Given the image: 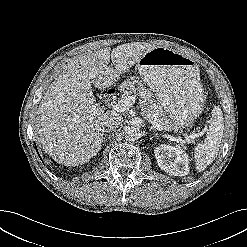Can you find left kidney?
<instances>
[{
  "mask_svg": "<svg viewBox=\"0 0 247 247\" xmlns=\"http://www.w3.org/2000/svg\"><path fill=\"white\" fill-rule=\"evenodd\" d=\"M161 170L174 176H186L189 173L188 155L180 148L161 144L154 149Z\"/></svg>",
  "mask_w": 247,
  "mask_h": 247,
  "instance_id": "5707ae66",
  "label": "left kidney"
}]
</instances>
